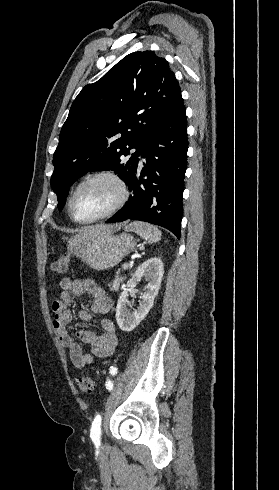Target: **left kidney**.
I'll return each instance as SVG.
<instances>
[{
  "instance_id": "5707ae66",
  "label": "left kidney",
  "mask_w": 279,
  "mask_h": 490,
  "mask_svg": "<svg viewBox=\"0 0 279 490\" xmlns=\"http://www.w3.org/2000/svg\"><path fill=\"white\" fill-rule=\"evenodd\" d=\"M163 274L164 264L162 260L160 258H150V260L143 262L137 268L131 280H128L127 288L121 292L116 306V322L122 332H132L149 314L151 308H153L154 300L158 296ZM142 278L148 284L144 286L141 302H139L136 310L128 312V296L130 292H136L135 288Z\"/></svg>"
}]
</instances>
